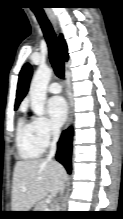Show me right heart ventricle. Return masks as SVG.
<instances>
[{
    "instance_id": "e07e8e85",
    "label": "right heart ventricle",
    "mask_w": 123,
    "mask_h": 219,
    "mask_svg": "<svg viewBox=\"0 0 123 219\" xmlns=\"http://www.w3.org/2000/svg\"><path fill=\"white\" fill-rule=\"evenodd\" d=\"M17 148L24 160L39 158L44 152V146L37 137L33 122L21 118L17 125Z\"/></svg>"
}]
</instances>
